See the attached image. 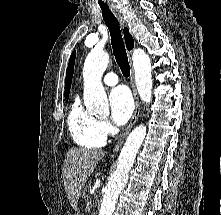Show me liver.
<instances>
[{
    "mask_svg": "<svg viewBox=\"0 0 221 215\" xmlns=\"http://www.w3.org/2000/svg\"><path fill=\"white\" fill-rule=\"evenodd\" d=\"M104 152L96 149L71 148L63 165V181L67 198L74 210H77L81 190L88 177L93 173Z\"/></svg>",
    "mask_w": 221,
    "mask_h": 215,
    "instance_id": "1",
    "label": "liver"
}]
</instances>
